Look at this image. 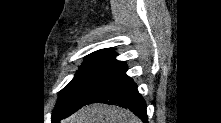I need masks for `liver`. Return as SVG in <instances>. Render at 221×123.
<instances>
[{
    "label": "liver",
    "instance_id": "liver-1",
    "mask_svg": "<svg viewBox=\"0 0 221 123\" xmlns=\"http://www.w3.org/2000/svg\"><path fill=\"white\" fill-rule=\"evenodd\" d=\"M62 123H141L130 111L104 104L85 106Z\"/></svg>",
    "mask_w": 221,
    "mask_h": 123
}]
</instances>
